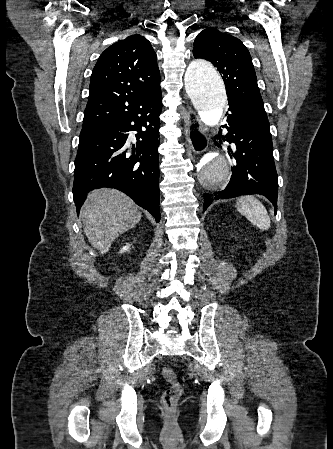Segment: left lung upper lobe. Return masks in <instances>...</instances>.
<instances>
[{
    "label": "left lung upper lobe",
    "instance_id": "5c2ea615",
    "mask_svg": "<svg viewBox=\"0 0 333 449\" xmlns=\"http://www.w3.org/2000/svg\"><path fill=\"white\" fill-rule=\"evenodd\" d=\"M193 55L210 61L220 72L229 104L268 119L257 85L248 49L241 40L216 28L201 31L194 41Z\"/></svg>",
    "mask_w": 333,
    "mask_h": 449
}]
</instances>
